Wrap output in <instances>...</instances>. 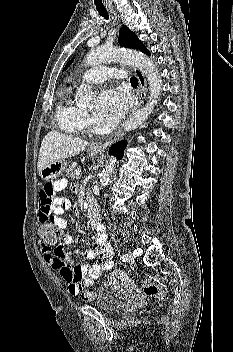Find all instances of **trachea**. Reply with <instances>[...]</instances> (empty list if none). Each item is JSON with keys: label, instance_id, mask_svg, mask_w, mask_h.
Here are the masks:
<instances>
[{"label": "trachea", "instance_id": "1", "mask_svg": "<svg viewBox=\"0 0 233 352\" xmlns=\"http://www.w3.org/2000/svg\"><path fill=\"white\" fill-rule=\"evenodd\" d=\"M97 11L99 12V14L104 17L105 19L108 20V12L105 8H98L96 7ZM130 83L133 84V85H137L138 84V80L136 77H131L130 78Z\"/></svg>", "mask_w": 233, "mask_h": 352}]
</instances>
